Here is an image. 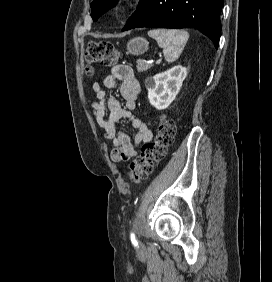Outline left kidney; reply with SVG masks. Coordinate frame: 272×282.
Instances as JSON below:
<instances>
[{
    "mask_svg": "<svg viewBox=\"0 0 272 282\" xmlns=\"http://www.w3.org/2000/svg\"><path fill=\"white\" fill-rule=\"evenodd\" d=\"M187 76V69L181 65L145 80L148 99L158 110L166 109L176 98L182 83Z\"/></svg>",
    "mask_w": 272,
    "mask_h": 282,
    "instance_id": "left-kidney-1",
    "label": "left kidney"
}]
</instances>
